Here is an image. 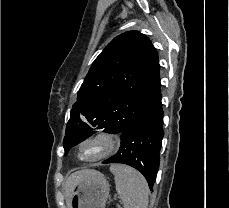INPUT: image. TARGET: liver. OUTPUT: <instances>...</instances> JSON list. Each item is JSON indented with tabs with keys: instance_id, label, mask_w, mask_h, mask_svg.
<instances>
[{
	"instance_id": "1",
	"label": "liver",
	"mask_w": 229,
	"mask_h": 208,
	"mask_svg": "<svg viewBox=\"0 0 229 208\" xmlns=\"http://www.w3.org/2000/svg\"><path fill=\"white\" fill-rule=\"evenodd\" d=\"M99 176H102V174L97 172V170H79V172H74V174H71V176L67 178V182L65 184L67 206H69V198L77 184H81V182H85V180H93V178H99Z\"/></svg>"
}]
</instances>
